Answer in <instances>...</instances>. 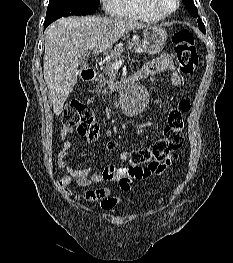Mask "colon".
<instances>
[{
	"instance_id": "obj_1",
	"label": "colon",
	"mask_w": 233,
	"mask_h": 263,
	"mask_svg": "<svg viewBox=\"0 0 233 263\" xmlns=\"http://www.w3.org/2000/svg\"><path fill=\"white\" fill-rule=\"evenodd\" d=\"M174 50L180 71L191 76L198 63V55L193 34L186 29L178 30L173 36ZM191 104L188 100H181L178 107L170 111L167 125L162 136L148 147L135 149L123 155L128 163L121 166L120 172L134 177L142 175V166L153 168L157 172L169 163L172 153L183 145L184 115L190 111ZM62 123L65 127L74 129L76 133L94 142L102 137L99 123L95 120L93 111L84 103L73 100L63 110ZM113 149L115 144L107 142Z\"/></svg>"
}]
</instances>
